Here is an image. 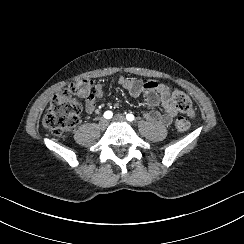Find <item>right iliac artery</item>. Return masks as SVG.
<instances>
[{"instance_id":"82829eb1","label":"right iliac artery","mask_w":244,"mask_h":244,"mask_svg":"<svg viewBox=\"0 0 244 244\" xmlns=\"http://www.w3.org/2000/svg\"><path fill=\"white\" fill-rule=\"evenodd\" d=\"M103 116L106 119H111L113 116V113L111 111H106Z\"/></svg>"}]
</instances>
